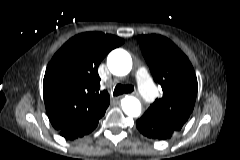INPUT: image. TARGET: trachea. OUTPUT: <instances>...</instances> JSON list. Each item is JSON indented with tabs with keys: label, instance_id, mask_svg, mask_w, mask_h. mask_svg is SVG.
Here are the masks:
<instances>
[{
	"label": "trachea",
	"instance_id": "1",
	"mask_svg": "<svg viewBox=\"0 0 240 160\" xmlns=\"http://www.w3.org/2000/svg\"><path fill=\"white\" fill-rule=\"evenodd\" d=\"M132 91H134V87L132 85H122V84H118L116 85L113 94L118 96L124 93H131Z\"/></svg>",
	"mask_w": 240,
	"mask_h": 160
}]
</instances>
